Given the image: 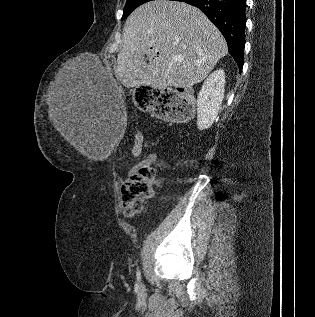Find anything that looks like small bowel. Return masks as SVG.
<instances>
[{"mask_svg": "<svg viewBox=\"0 0 315 317\" xmlns=\"http://www.w3.org/2000/svg\"><path fill=\"white\" fill-rule=\"evenodd\" d=\"M158 161V155L156 153L148 154L143 160L133 165L127 172L126 177L135 173L138 169L142 167H150Z\"/></svg>", "mask_w": 315, "mask_h": 317, "instance_id": "c3829d8e", "label": "small bowel"}]
</instances>
